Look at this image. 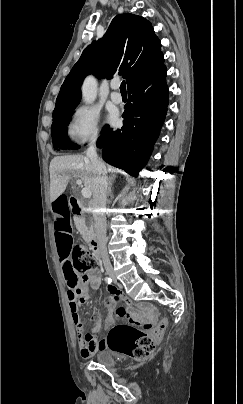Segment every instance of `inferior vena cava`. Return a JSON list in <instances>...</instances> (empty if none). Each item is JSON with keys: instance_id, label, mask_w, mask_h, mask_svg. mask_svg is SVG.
Returning a JSON list of instances; mask_svg holds the SVG:
<instances>
[{"instance_id": "1", "label": "inferior vena cava", "mask_w": 243, "mask_h": 404, "mask_svg": "<svg viewBox=\"0 0 243 404\" xmlns=\"http://www.w3.org/2000/svg\"><path fill=\"white\" fill-rule=\"evenodd\" d=\"M95 138H92L89 148L86 152L87 158L91 162L92 180H93V200L92 212L94 218V228L99 246L102 262L108 274L114 273V268L109 262L107 254V238H106V192H107V170L97 156L95 148Z\"/></svg>"}]
</instances>
